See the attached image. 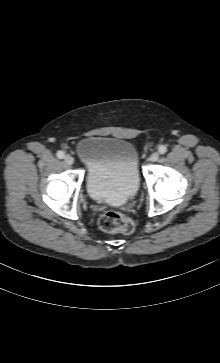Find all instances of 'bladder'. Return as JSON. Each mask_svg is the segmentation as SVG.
I'll return each instance as SVG.
<instances>
[{
  "label": "bladder",
  "instance_id": "31cf9c89",
  "mask_svg": "<svg viewBox=\"0 0 220 363\" xmlns=\"http://www.w3.org/2000/svg\"><path fill=\"white\" fill-rule=\"evenodd\" d=\"M75 153L86 170V189L93 200L121 204L138 192L139 155L130 141L88 137L77 143Z\"/></svg>",
  "mask_w": 220,
  "mask_h": 363
}]
</instances>
